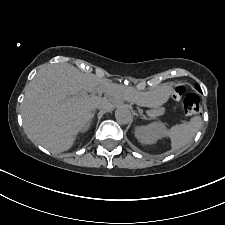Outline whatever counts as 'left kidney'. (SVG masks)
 <instances>
[{"mask_svg":"<svg viewBox=\"0 0 225 225\" xmlns=\"http://www.w3.org/2000/svg\"><path fill=\"white\" fill-rule=\"evenodd\" d=\"M165 126L160 122H153L146 126L136 128L135 136L139 142L143 144H155L161 137V133Z\"/></svg>","mask_w":225,"mask_h":225,"instance_id":"obj_1","label":"left kidney"}]
</instances>
